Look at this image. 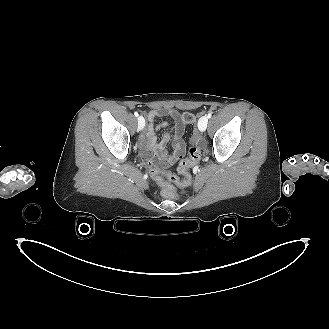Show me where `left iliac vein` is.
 Returning <instances> with one entry per match:
<instances>
[{
	"label": "left iliac vein",
	"mask_w": 329,
	"mask_h": 329,
	"mask_svg": "<svg viewBox=\"0 0 329 329\" xmlns=\"http://www.w3.org/2000/svg\"><path fill=\"white\" fill-rule=\"evenodd\" d=\"M207 124H208V118L206 116L201 117L198 121V129L201 132H204L207 128Z\"/></svg>",
	"instance_id": "1"
}]
</instances>
